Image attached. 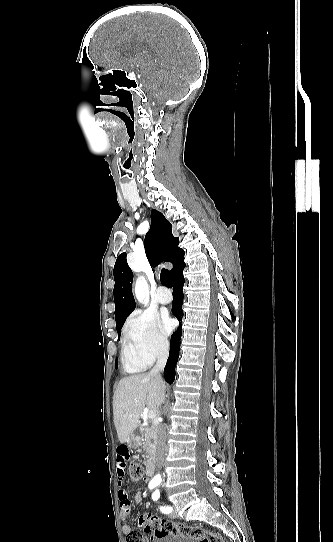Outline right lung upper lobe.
Instances as JSON below:
<instances>
[{"mask_svg": "<svg viewBox=\"0 0 333 542\" xmlns=\"http://www.w3.org/2000/svg\"><path fill=\"white\" fill-rule=\"evenodd\" d=\"M179 240L172 234V225L162 213L157 210L151 212V227L145 237V252L153 267L162 261L174 262L182 251L178 247ZM114 301L116 329L121 326L125 319L135 309V301L132 294L133 273L126 261V253L118 256L114 266Z\"/></svg>", "mask_w": 333, "mask_h": 542, "instance_id": "cb5924a9", "label": "right lung upper lobe"}]
</instances>
